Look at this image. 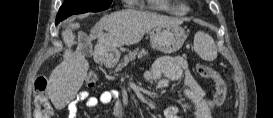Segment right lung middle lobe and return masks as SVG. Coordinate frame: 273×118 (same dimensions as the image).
<instances>
[{
    "label": "right lung middle lobe",
    "instance_id": "obj_1",
    "mask_svg": "<svg viewBox=\"0 0 273 118\" xmlns=\"http://www.w3.org/2000/svg\"><path fill=\"white\" fill-rule=\"evenodd\" d=\"M112 0H65L60 7L59 17H69L73 14L99 12L110 7Z\"/></svg>",
    "mask_w": 273,
    "mask_h": 118
}]
</instances>
